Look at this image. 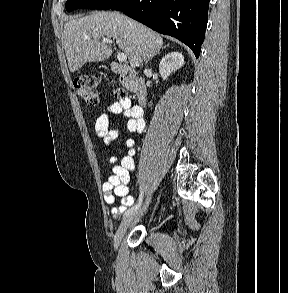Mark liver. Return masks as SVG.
Returning <instances> with one entry per match:
<instances>
[{"mask_svg": "<svg viewBox=\"0 0 288 293\" xmlns=\"http://www.w3.org/2000/svg\"><path fill=\"white\" fill-rule=\"evenodd\" d=\"M116 39L132 68L153 57L163 48L162 37L145 25L117 12H93L74 17L64 26L63 40L69 70L75 72L87 62L108 59L112 48L102 38Z\"/></svg>", "mask_w": 288, "mask_h": 293, "instance_id": "1", "label": "liver"}]
</instances>
